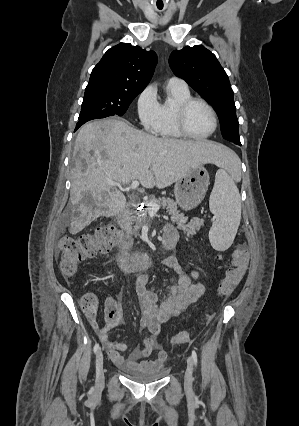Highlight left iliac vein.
I'll return each mask as SVG.
<instances>
[{"instance_id":"4c4485c4","label":"left iliac vein","mask_w":299,"mask_h":426,"mask_svg":"<svg viewBox=\"0 0 299 426\" xmlns=\"http://www.w3.org/2000/svg\"><path fill=\"white\" fill-rule=\"evenodd\" d=\"M192 375H193V359L192 357L187 358V368L184 376V384L186 388H190L192 385Z\"/></svg>"}]
</instances>
